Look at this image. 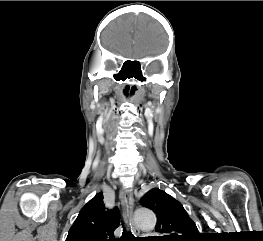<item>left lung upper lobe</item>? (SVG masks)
Masks as SVG:
<instances>
[{"label": "left lung upper lobe", "instance_id": "obj_1", "mask_svg": "<svg viewBox=\"0 0 263 241\" xmlns=\"http://www.w3.org/2000/svg\"><path fill=\"white\" fill-rule=\"evenodd\" d=\"M141 204L157 215L155 230L163 236L151 237L154 241H200L196 224L183 206L164 191L153 188L140 200Z\"/></svg>", "mask_w": 263, "mask_h": 241}]
</instances>
